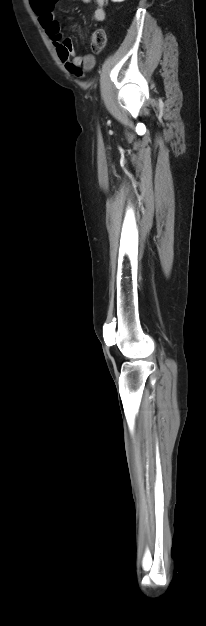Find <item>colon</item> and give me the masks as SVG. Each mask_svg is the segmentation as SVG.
Wrapping results in <instances>:
<instances>
[{"label":"colon","mask_w":206,"mask_h":626,"mask_svg":"<svg viewBox=\"0 0 206 626\" xmlns=\"http://www.w3.org/2000/svg\"><path fill=\"white\" fill-rule=\"evenodd\" d=\"M106 45V33L103 29H96L91 36V47L94 52H100Z\"/></svg>","instance_id":"5ec220e1"}]
</instances>
